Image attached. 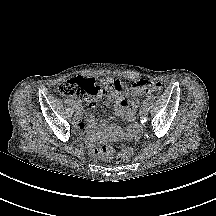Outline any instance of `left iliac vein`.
I'll use <instances>...</instances> for the list:
<instances>
[{
  "label": "left iliac vein",
  "instance_id": "4c4485c4",
  "mask_svg": "<svg viewBox=\"0 0 216 216\" xmlns=\"http://www.w3.org/2000/svg\"><path fill=\"white\" fill-rule=\"evenodd\" d=\"M139 114L141 115V116H145L146 114H147V107L146 106H142L141 108H140V112H139Z\"/></svg>",
  "mask_w": 216,
  "mask_h": 216
}]
</instances>
